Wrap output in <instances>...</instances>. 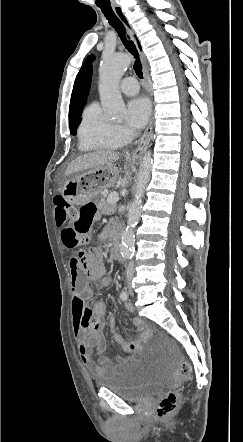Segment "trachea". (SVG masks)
I'll return each mask as SVG.
<instances>
[{
    "mask_svg": "<svg viewBox=\"0 0 243 442\" xmlns=\"http://www.w3.org/2000/svg\"><path fill=\"white\" fill-rule=\"evenodd\" d=\"M102 13L108 20L109 24L116 30L118 33V36L120 37L121 41L123 42L125 48L134 56L135 63H134V70L137 76L142 79L143 73H142V65L139 60L138 53L136 51V48L132 41L128 39V35L126 34V30L124 27V24L122 21L116 16L111 6H99Z\"/></svg>",
    "mask_w": 243,
    "mask_h": 442,
    "instance_id": "3493384b",
    "label": "trachea"
}]
</instances>
